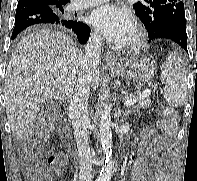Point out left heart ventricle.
<instances>
[{
  "mask_svg": "<svg viewBox=\"0 0 197 181\" xmlns=\"http://www.w3.org/2000/svg\"><path fill=\"white\" fill-rule=\"evenodd\" d=\"M132 36H133V30L128 34V36L123 42L129 41L132 38Z\"/></svg>",
  "mask_w": 197,
  "mask_h": 181,
  "instance_id": "1",
  "label": "left heart ventricle"
}]
</instances>
